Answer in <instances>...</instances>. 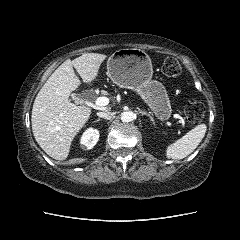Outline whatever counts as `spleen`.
I'll return each instance as SVG.
<instances>
[{
    "label": "spleen",
    "instance_id": "spleen-1",
    "mask_svg": "<svg viewBox=\"0 0 240 240\" xmlns=\"http://www.w3.org/2000/svg\"><path fill=\"white\" fill-rule=\"evenodd\" d=\"M207 126L199 124L187 132L183 137L170 144L166 149L167 158L183 159L191 154L205 136Z\"/></svg>",
    "mask_w": 240,
    "mask_h": 240
}]
</instances>
